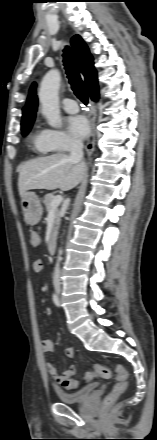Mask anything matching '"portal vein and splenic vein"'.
Returning <instances> with one entry per match:
<instances>
[{
	"label": "portal vein and splenic vein",
	"instance_id": "portal-vein-and-splenic-vein-1",
	"mask_svg": "<svg viewBox=\"0 0 157 440\" xmlns=\"http://www.w3.org/2000/svg\"><path fill=\"white\" fill-rule=\"evenodd\" d=\"M62 200H63V197H62L61 195H57V196L53 199V201L51 202L52 210L56 209V208L60 205V203L62 202Z\"/></svg>",
	"mask_w": 157,
	"mask_h": 440
}]
</instances>
